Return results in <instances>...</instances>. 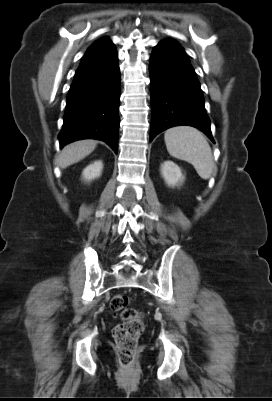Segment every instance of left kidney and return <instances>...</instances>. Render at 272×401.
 Wrapping results in <instances>:
<instances>
[{"mask_svg": "<svg viewBox=\"0 0 272 401\" xmlns=\"http://www.w3.org/2000/svg\"><path fill=\"white\" fill-rule=\"evenodd\" d=\"M161 174L166 184L171 187L178 186L184 180L180 167L169 160L162 164Z\"/></svg>", "mask_w": 272, "mask_h": 401, "instance_id": "left-kidney-1", "label": "left kidney"}]
</instances>
